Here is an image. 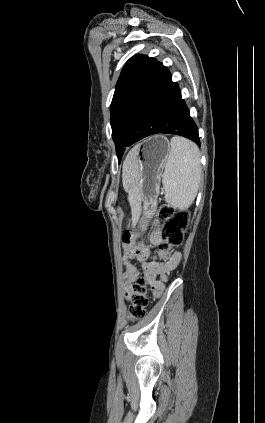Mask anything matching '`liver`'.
<instances>
[{"mask_svg": "<svg viewBox=\"0 0 265 423\" xmlns=\"http://www.w3.org/2000/svg\"><path fill=\"white\" fill-rule=\"evenodd\" d=\"M122 178L124 184H135L138 179L134 149L128 154L124 161ZM136 221L137 217L134 215L133 222Z\"/></svg>", "mask_w": 265, "mask_h": 423, "instance_id": "1", "label": "liver"}]
</instances>
